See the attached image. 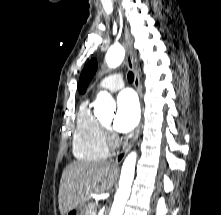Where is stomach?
<instances>
[{"instance_id": "1", "label": "stomach", "mask_w": 221, "mask_h": 215, "mask_svg": "<svg viewBox=\"0 0 221 215\" xmlns=\"http://www.w3.org/2000/svg\"><path fill=\"white\" fill-rule=\"evenodd\" d=\"M83 214H84L83 208H75L66 213V215H83Z\"/></svg>"}]
</instances>
